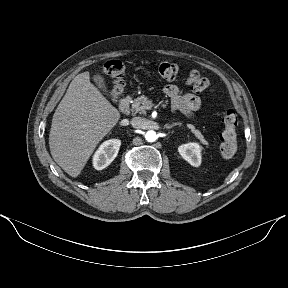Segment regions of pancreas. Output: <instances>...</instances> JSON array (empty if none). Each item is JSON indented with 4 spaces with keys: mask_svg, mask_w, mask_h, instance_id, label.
<instances>
[{
    "mask_svg": "<svg viewBox=\"0 0 288 288\" xmlns=\"http://www.w3.org/2000/svg\"><path fill=\"white\" fill-rule=\"evenodd\" d=\"M151 101L148 99V97L142 95L140 97H137L132 102V110L135 111V113L144 114L146 113L147 106L150 105ZM187 128L190 129V131L195 135L197 139L200 140V142L204 145H208V142L204 139L201 132L195 128L194 125L188 124Z\"/></svg>",
    "mask_w": 288,
    "mask_h": 288,
    "instance_id": "cf45deb5",
    "label": "pancreas"
}]
</instances>
